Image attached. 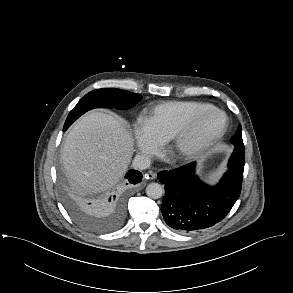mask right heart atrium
<instances>
[{
  "mask_svg": "<svg viewBox=\"0 0 293 293\" xmlns=\"http://www.w3.org/2000/svg\"><path fill=\"white\" fill-rule=\"evenodd\" d=\"M130 134L132 142L142 154L155 155L162 146V141L152 133L142 119L133 123Z\"/></svg>",
  "mask_w": 293,
  "mask_h": 293,
  "instance_id": "obj_1",
  "label": "right heart atrium"
}]
</instances>
